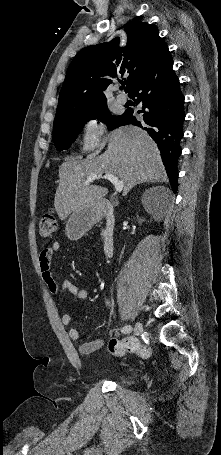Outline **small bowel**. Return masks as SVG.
<instances>
[{
  "instance_id": "obj_1",
  "label": "small bowel",
  "mask_w": 221,
  "mask_h": 455,
  "mask_svg": "<svg viewBox=\"0 0 221 455\" xmlns=\"http://www.w3.org/2000/svg\"><path fill=\"white\" fill-rule=\"evenodd\" d=\"M60 250L59 242H54L50 246L44 248L40 253L38 259V265L42 274L43 282L45 283L48 291L51 295L59 297L65 292L71 293L76 299L83 300L88 298L89 292L85 289H80L75 286L71 281L65 280L59 284L53 274V260L58 255ZM63 325L68 326L71 322V316L65 313L61 317ZM68 335L73 341H80L81 335L75 328L68 330ZM103 341L101 339H95L80 344V352L83 354H90L101 348Z\"/></svg>"
}]
</instances>
